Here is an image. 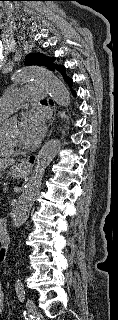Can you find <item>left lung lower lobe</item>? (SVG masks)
<instances>
[{
    "label": "left lung lower lobe",
    "instance_id": "obj_1",
    "mask_svg": "<svg viewBox=\"0 0 118 320\" xmlns=\"http://www.w3.org/2000/svg\"><path fill=\"white\" fill-rule=\"evenodd\" d=\"M63 78H64L65 82H66L69 86H72L73 81H72V79H71L70 77H68V76H66L65 74H63ZM72 93L74 94V91H72Z\"/></svg>",
    "mask_w": 118,
    "mask_h": 320
}]
</instances>
